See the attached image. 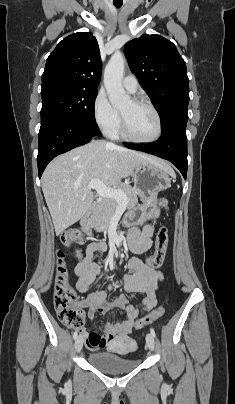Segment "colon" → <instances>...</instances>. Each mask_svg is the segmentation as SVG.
Instances as JSON below:
<instances>
[{"instance_id": "colon-1", "label": "colon", "mask_w": 235, "mask_h": 404, "mask_svg": "<svg viewBox=\"0 0 235 404\" xmlns=\"http://www.w3.org/2000/svg\"><path fill=\"white\" fill-rule=\"evenodd\" d=\"M160 204L167 208V200L162 198ZM62 246L68 248L74 245H81L85 242L83 233L79 230H67L60 238ZM168 246V232L166 228H160L156 235L155 251L149 256L145 265L151 269L159 268L165 259ZM79 257V254L76 253ZM54 306L58 319L70 328H79L82 325L83 310L79 303L76 301V295L69 285V278L67 273L66 264L64 261V253L59 250L57 252V274L55 278L54 288ZM164 307L159 306L150 314L141 317L135 321L136 328H142L150 323L155 322L164 314ZM107 338L101 340L102 344L108 343Z\"/></svg>"}]
</instances>
